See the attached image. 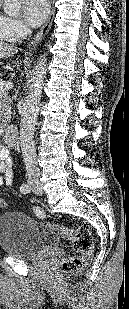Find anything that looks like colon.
<instances>
[{
  "instance_id": "colon-1",
  "label": "colon",
  "mask_w": 129,
  "mask_h": 309,
  "mask_svg": "<svg viewBox=\"0 0 129 309\" xmlns=\"http://www.w3.org/2000/svg\"><path fill=\"white\" fill-rule=\"evenodd\" d=\"M6 206L5 201L0 198V208ZM39 217H44L41 209L36 210ZM49 226L62 237L68 239L72 243L74 256L65 259L61 263V272L63 274H72L82 270L89 262L93 252V238L90 230L85 226L76 228H66L57 224H49Z\"/></svg>"
}]
</instances>
